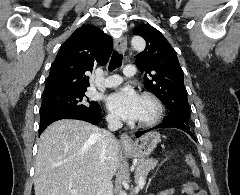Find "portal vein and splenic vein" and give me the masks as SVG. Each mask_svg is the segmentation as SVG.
Returning <instances> with one entry per match:
<instances>
[{
	"mask_svg": "<svg viewBox=\"0 0 240 195\" xmlns=\"http://www.w3.org/2000/svg\"><path fill=\"white\" fill-rule=\"evenodd\" d=\"M137 181H138V187L143 189L145 187V182H143L144 178L143 177H138ZM70 191H71V193H77V189H70Z\"/></svg>",
	"mask_w": 240,
	"mask_h": 195,
	"instance_id": "obj_1",
	"label": "portal vein and splenic vein"
}]
</instances>
